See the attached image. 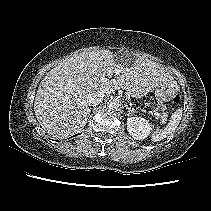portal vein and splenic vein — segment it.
<instances>
[{"mask_svg": "<svg viewBox=\"0 0 211 211\" xmlns=\"http://www.w3.org/2000/svg\"><path fill=\"white\" fill-rule=\"evenodd\" d=\"M116 73L118 74L119 70H117ZM102 80L105 81V80H107V78H102ZM154 115L156 116V118H158L160 116V114L157 112H154Z\"/></svg>", "mask_w": 211, "mask_h": 211, "instance_id": "portal-vein-and-splenic-vein-1", "label": "portal vein and splenic vein"}]
</instances>
